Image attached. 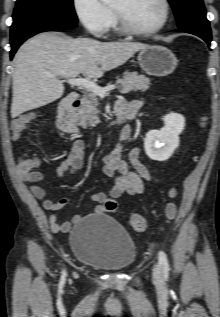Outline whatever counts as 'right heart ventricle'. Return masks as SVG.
I'll list each match as a JSON object with an SVG mask.
<instances>
[{
	"label": "right heart ventricle",
	"mask_w": 220,
	"mask_h": 317,
	"mask_svg": "<svg viewBox=\"0 0 220 317\" xmlns=\"http://www.w3.org/2000/svg\"><path fill=\"white\" fill-rule=\"evenodd\" d=\"M111 25H112V26H114L113 20H112V23H111Z\"/></svg>",
	"instance_id": "e07e8e85"
}]
</instances>
